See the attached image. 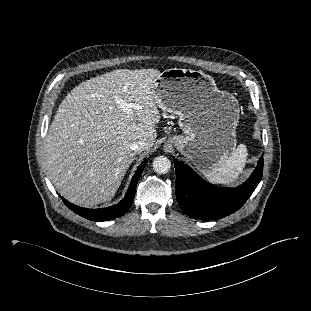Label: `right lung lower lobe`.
<instances>
[{
	"label": "right lung lower lobe",
	"instance_id": "98d812e1",
	"mask_svg": "<svg viewBox=\"0 0 311 311\" xmlns=\"http://www.w3.org/2000/svg\"><path fill=\"white\" fill-rule=\"evenodd\" d=\"M144 167L145 165H142L137 169L136 173L134 174L131 180V184L124 199L116 205L101 209H86L78 207L63 198L62 200L65 203V205L73 212L92 221H107L120 217L124 215L131 207L135 194L136 185L144 170Z\"/></svg>",
	"mask_w": 311,
	"mask_h": 311
}]
</instances>
